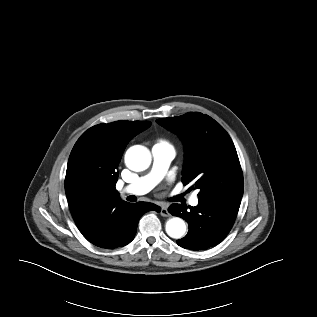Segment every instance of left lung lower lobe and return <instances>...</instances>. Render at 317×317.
Segmentation results:
<instances>
[{
  "instance_id": "obj_1",
  "label": "left lung lower lobe",
  "mask_w": 317,
  "mask_h": 317,
  "mask_svg": "<svg viewBox=\"0 0 317 317\" xmlns=\"http://www.w3.org/2000/svg\"><path fill=\"white\" fill-rule=\"evenodd\" d=\"M197 206L172 204L168 211L185 219L189 225L188 234L177 240L183 248L204 250L219 244L231 230L236 219L241 197H202Z\"/></svg>"
}]
</instances>
